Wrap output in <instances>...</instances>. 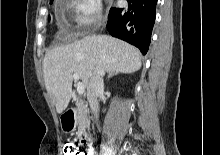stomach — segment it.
Here are the masks:
<instances>
[{
  "label": "stomach",
  "mask_w": 220,
  "mask_h": 155,
  "mask_svg": "<svg viewBox=\"0 0 220 155\" xmlns=\"http://www.w3.org/2000/svg\"><path fill=\"white\" fill-rule=\"evenodd\" d=\"M62 128L65 131H72L74 129L72 125H63Z\"/></svg>",
  "instance_id": "0dacf381"
}]
</instances>
